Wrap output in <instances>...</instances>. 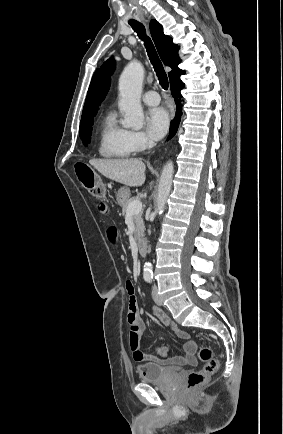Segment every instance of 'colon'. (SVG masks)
<instances>
[{"label":"colon","instance_id":"obj_1","mask_svg":"<svg viewBox=\"0 0 283 434\" xmlns=\"http://www.w3.org/2000/svg\"><path fill=\"white\" fill-rule=\"evenodd\" d=\"M75 172L78 181L89 193L99 199L105 197V185L91 167L84 163H79L75 166ZM199 358L205 364L201 370L193 371L187 376V387L190 390H195L203 386L207 382L208 378L218 370L219 363L217 359L213 357L210 348H201L199 350Z\"/></svg>","mask_w":283,"mask_h":434}]
</instances>
